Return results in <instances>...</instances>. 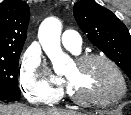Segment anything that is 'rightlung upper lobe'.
Wrapping results in <instances>:
<instances>
[{
	"label": "right lung upper lobe",
	"instance_id": "right-lung-upper-lobe-1",
	"mask_svg": "<svg viewBox=\"0 0 131 115\" xmlns=\"http://www.w3.org/2000/svg\"><path fill=\"white\" fill-rule=\"evenodd\" d=\"M29 20L27 3L5 0L0 4V55L22 51Z\"/></svg>",
	"mask_w": 131,
	"mask_h": 115
}]
</instances>
